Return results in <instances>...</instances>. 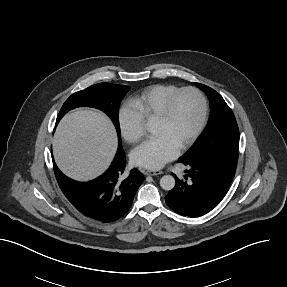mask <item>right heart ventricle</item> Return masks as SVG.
I'll return each mask as SVG.
<instances>
[{"label": "right heart ventricle", "mask_w": 287, "mask_h": 287, "mask_svg": "<svg viewBox=\"0 0 287 287\" xmlns=\"http://www.w3.org/2000/svg\"><path fill=\"white\" fill-rule=\"evenodd\" d=\"M177 90H179V87L173 84L153 85L133 97L129 106L145 124L155 120L166 100Z\"/></svg>", "instance_id": "right-heart-ventricle-1"}]
</instances>
